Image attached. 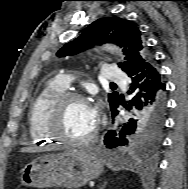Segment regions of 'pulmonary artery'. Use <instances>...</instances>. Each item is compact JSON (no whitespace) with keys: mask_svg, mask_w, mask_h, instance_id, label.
I'll return each instance as SVG.
<instances>
[{"mask_svg":"<svg viewBox=\"0 0 188 189\" xmlns=\"http://www.w3.org/2000/svg\"><path fill=\"white\" fill-rule=\"evenodd\" d=\"M103 76L106 80L111 82H123L126 79L125 74L113 65H108L106 67L103 72ZM58 80L64 86H68L71 83V78L65 74L59 75Z\"/></svg>","mask_w":188,"mask_h":189,"instance_id":"e3ab8cb5","label":"pulmonary artery"}]
</instances>
